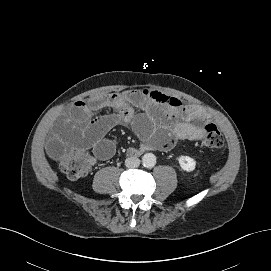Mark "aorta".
<instances>
[{
  "instance_id": "aorta-1",
  "label": "aorta",
  "mask_w": 271,
  "mask_h": 271,
  "mask_svg": "<svg viewBox=\"0 0 271 271\" xmlns=\"http://www.w3.org/2000/svg\"><path fill=\"white\" fill-rule=\"evenodd\" d=\"M142 163L145 167L151 168L156 163V156L153 153H146L142 157Z\"/></svg>"
}]
</instances>
